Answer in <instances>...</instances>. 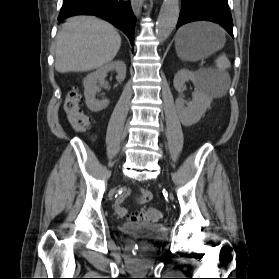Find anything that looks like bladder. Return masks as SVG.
I'll use <instances>...</instances> for the list:
<instances>
[{"instance_id":"obj_1","label":"bladder","mask_w":279,"mask_h":279,"mask_svg":"<svg viewBox=\"0 0 279 279\" xmlns=\"http://www.w3.org/2000/svg\"><path fill=\"white\" fill-rule=\"evenodd\" d=\"M121 232L145 240H159L165 236L166 229L162 224L127 222L121 226Z\"/></svg>"}]
</instances>
